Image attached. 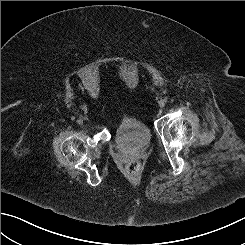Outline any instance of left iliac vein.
Listing matches in <instances>:
<instances>
[{
  "label": "left iliac vein",
  "instance_id": "left-iliac-vein-1",
  "mask_svg": "<svg viewBox=\"0 0 245 245\" xmlns=\"http://www.w3.org/2000/svg\"><path fill=\"white\" fill-rule=\"evenodd\" d=\"M158 104H159V106H160V107H164V105H165L164 101H162V100H161V101H159V103H158Z\"/></svg>",
  "mask_w": 245,
  "mask_h": 245
}]
</instances>
